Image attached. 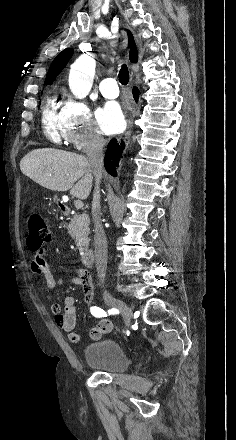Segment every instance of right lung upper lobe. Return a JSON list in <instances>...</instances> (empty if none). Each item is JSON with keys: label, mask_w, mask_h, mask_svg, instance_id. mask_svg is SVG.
Returning <instances> with one entry per match:
<instances>
[{"label": "right lung upper lobe", "mask_w": 236, "mask_h": 440, "mask_svg": "<svg viewBox=\"0 0 236 440\" xmlns=\"http://www.w3.org/2000/svg\"><path fill=\"white\" fill-rule=\"evenodd\" d=\"M128 33V44L130 47V61L133 63H136L138 60V52L136 48V44L134 42L133 35L130 31H127ZM73 49L67 48L60 52L56 58L53 60L52 64L50 65V68L48 70L45 84H51L55 78L59 75V73L62 71V69L65 67L71 56L73 55Z\"/></svg>", "instance_id": "right-lung-upper-lobe-1"}]
</instances>
